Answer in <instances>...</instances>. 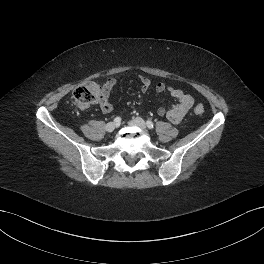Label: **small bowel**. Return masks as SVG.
<instances>
[{"label":"small bowel","mask_w":264,"mask_h":264,"mask_svg":"<svg viewBox=\"0 0 264 264\" xmlns=\"http://www.w3.org/2000/svg\"><path fill=\"white\" fill-rule=\"evenodd\" d=\"M116 81L113 78L108 79L104 84V93L100 100L98 101V104L100 106V109L104 113H108L112 110V105L109 102V93L112 90L113 86L115 85ZM140 83H141V90L143 92H146L150 86L151 81L147 77H140ZM156 91L158 93H168L172 98L176 100V104H174L170 108L160 107L157 110L158 115L165 116L170 122L174 124H179L187 112L192 107L194 100L189 95L183 92L180 89H176L172 86H169L165 83H158L156 85Z\"/></svg>","instance_id":"c3829d8e"}]
</instances>
